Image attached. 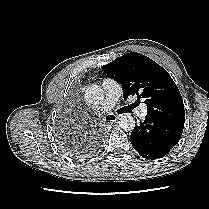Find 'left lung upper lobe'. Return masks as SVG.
<instances>
[{"instance_id": "1", "label": "left lung upper lobe", "mask_w": 209, "mask_h": 209, "mask_svg": "<svg viewBox=\"0 0 209 209\" xmlns=\"http://www.w3.org/2000/svg\"><path fill=\"white\" fill-rule=\"evenodd\" d=\"M103 70L122 85L123 97L145 99L147 115L162 122L184 126L181 94L169 73L150 58L131 52L104 65Z\"/></svg>"}]
</instances>
